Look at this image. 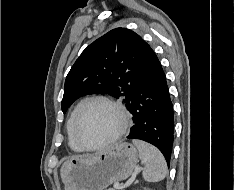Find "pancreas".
<instances>
[{"mask_svg":"<svg viewBox=\"0 0 234 190\" xmlns=\"http://www.w3.org/2000/svg\"><path fill=\"white\" fill-rule=\"evenodd\" d=\"M108 190H115V189H113V188H109Z\"/></svg>","mask_w":234,"mask_h":190,"instance_id":"1","label":"pancreas"}]
</instances>
